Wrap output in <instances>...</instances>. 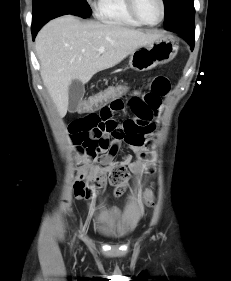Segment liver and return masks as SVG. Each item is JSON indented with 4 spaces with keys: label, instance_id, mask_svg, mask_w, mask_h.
Instances as JSON below:
<instances>
[{
    "label": "liver",
    "instance_id": "1",
    "mask_svg": "<svg viewBox=\"0 0 231 281\" xmlns=\"http://www.w3.org/2000/svg\"><path fill=\"white\" fill-rule=\"evenodd\" d=\"M162 36L118 23L82 22L73 15L48 22L36 37L35 49L44 86L60 117L68 110L72 80L85 84L97 72L117 65L139 47ZM100 47L105 48L103 53L98 52Z\"/></svg>",
    "mask_w": 231,
    "mask_h": 281
}]
</instances>
